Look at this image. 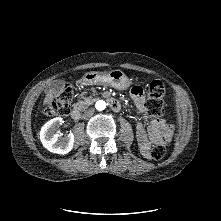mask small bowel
<instances>
[{"label": "small bowel", "mask_w": 221, "mask_h": 221, "mask_svg": "<svg viewBox=\"0 0 221 221\" xmlns=\"http://www.w3.org/2000/svg\"><path fill=\"white\" fill-rule=\"evenodd\" d=\"M131 97L143 121L136 127V137L142 154L149 157L150 145L152 143H165L173 133V126L167 124L162 118L148 121V114L145 107V96L142 87L134 86L131 89Z\"/></svg>", "instance_id": "small-bowel-1"}]
</instances>
